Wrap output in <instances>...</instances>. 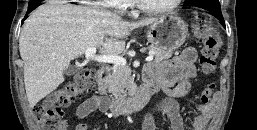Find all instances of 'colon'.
<instances>
[{
	"label": "colon",
	"mask_w": 257,
	"mask_h": 130,
	"mask_svg": "<svg viewBox=\"0 0 257 130\" xmlns=\"http://www.w3.org/2000/svg\"><path fill=\"white\" fill-rule=\"evenodd\" d=\"M194 33L203 41L199 59L201 70L207 75L214 74L217 65L216 60L222 46L220 34L204 18L196 19ZM98 84L97 73L94 69L85 68L78 72L74 80L56 94L54 104L39 105L34 109L35 118L41 125L42 130H68L63 119L64 108L71 105L82 95L96 91ZM214 90V81H206L201 92V102L204 105L210 102Z\"/></svg>",
	"instance_id": "colon-1"
}]
</instances>
